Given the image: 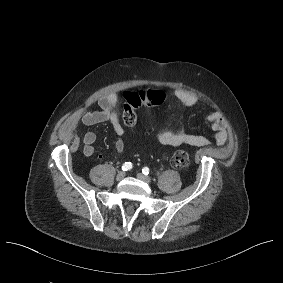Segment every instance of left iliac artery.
<instances>
[{"instance_id": "44dca946", "label": "left iliac artery", "mask_w": 283, "mask_h": 283, "mask_svg": "<svg viewBox=\"0 0 283 283\" xmlns=\"http://www.w3.org/2000/svg\"><path fill=\"white\" fill-rule=\"evenodd\" d=\"M142 173L145 174V175H148L149 174V168L148 167H144L142 169Z\"/></svg>"}]
</instances>
